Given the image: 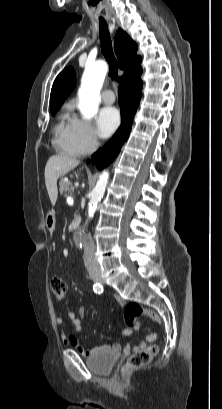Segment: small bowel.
<instances>
[{
  "mask_svg": "<svg viewBox=\"0 0 222 409\" xmlns=\"http://www.w3.org/2000/svg\"><path fill=\"white\" fill-rule=\"evenodd\" d=\"M120 303L122 304V301H120ZM66 304H68V302H66ZM84 315V308H80L79 309V316L76 315L74 312H69V319L71 324L74 326V328L80 332L82 330V317ZM55 322L59 327L63 326V318L61 316H56L55 318ZM62 331V336L65 340V342L71 346L73 349H75L78 353L84 355V356H93L96 355L100 352L106 351V350H122V352L124 354H129L132 350L131 345L130 344H126L124 346L118 345V344H112V345H102V346H98L92 349H86L84 348L77 340L75 337L67 334L65 332L64 329L61 330ZM122 335H129L130 334V330L126 329L124 331H122L121 333ZM157 338V334L156 333H150L148 334L144 340L140 341L139 344L135 347V349H140L142 347H144L146 345L147 342H152L155 341Z\"/></svg>",
  "mask_w": 222,
  "mask_h": 409,
  "instance_id": "1",
  "label": "small bowel"
}]
</instances>
